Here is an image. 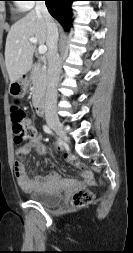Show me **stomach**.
<instances>
[{
	"mask_svg": "<svg viewBox=\"0 0 133 253\" xmlns=\"http://www.w3.org/2000/svg\"><path fill=\"white\" fill-rule=\"evenodd\" d=\"M28 81L26 78H20L9 86V92L13 96H23L26 93Z\"/></svg>",
	"mask_w": 133,
	"mask_h": 253,
	"instance_id": "obj_1",
	"label": "stomach"
}]
</instances>
